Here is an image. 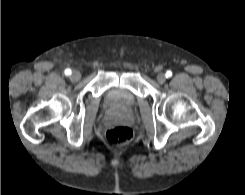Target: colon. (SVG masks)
<instances>
[{
    "label": "colon",
    "instance_id": "5ec220e1",
    "mask_svg": "<svg viewBox=\"0 0 245 195\" xmlns=\"http://www.w3.org/2000/svg\"><path fill=\"white\" fill-rule=\"evenodd\" d=\"M107 140L116 146H125L131 142L133 132L130 128L125 126H117L109 129L106 132Z\"/></svg>",
    "mask_w": 245,
    "mask_h": 195
}]
</instances>
